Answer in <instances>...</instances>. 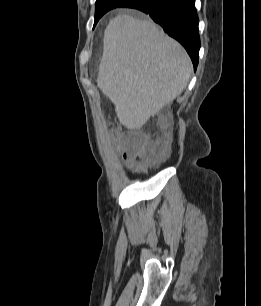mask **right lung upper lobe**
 <instances>
[{
  "instance_id": "right-lung-upper-lobe-1",
  "label": "right lung upper lobe",
  "mask_w": 261,
  "mask_h": 306,
  "mask_svg": "<svg viewBox=\"0 0 261 306\" xmlns=\"http://www.w3.org/2000/svg\"><path fill=\"white\" fill-rule=\"evenodd\" d=\"M102 1H106V0H97L96 3H100ZM129 1V0H128Z\"/></svg>"
}]
</instances>
